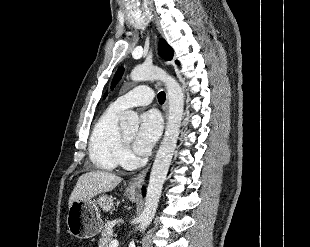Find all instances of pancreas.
I'll list each match as a JSON object with an SVG mask.
<instances>
[{"instance_id": "cf45deb5", "label": "pancreas", "mask_w": 310, "mask_h": 247, "mask_svg": "<svg viewBox=\"0 0 310 247\" xmlns=\"http://www.w3.org/2000/svg\"><path fill=\"white\" fill-rule=\"evenodd\" d=\"M114 223L112 221H107L105 227L101 232V238L99 240L98 247H109L112 237L114 236Z\"/></svg>"}]
</instances>
